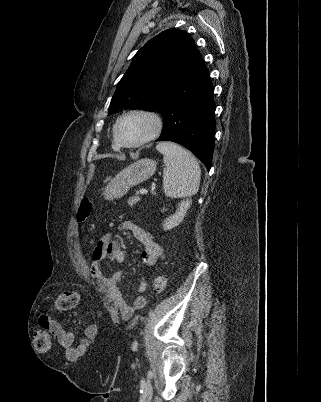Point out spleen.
<instances>
[{"mask_svg": "<svg viewBox=\"0 0 321 402\" xmlns=\"http://www.w3.org/2000/svg\"><path fill=\"white\" fill-rule=\"evenodd\" d=\"M156 149L163 154V189L167 196L186 198L179 204L180 211L164 224L166 229L176 226L191 205V197L197 194L201 170L196 158L186 149L172 142H161Z\"/></svg>", "mask_w": 321, "mask_h": 402, "instance_id": "obj_1", "label": "spleen"}]
</instances>
